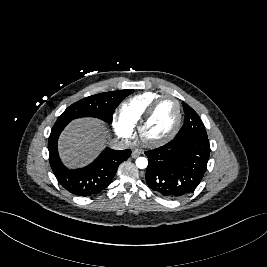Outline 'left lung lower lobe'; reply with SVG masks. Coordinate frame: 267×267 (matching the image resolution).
Returning a JSON list of instances; mask_svg holds the SVG:
<instances>
[{
  "instance_id": "1",
  "label": "left lung lower lobe",
  "mask_w": 267,
  "mask_h": 267,
  "mask_svg": "<svg viewBox=\"0 0 267 267\" xmlns=\"http://www.w3.org/2000/svg\"><path fill=\"white\" fill-rule=\"evenodd\" d=\"M148 157L146 182L156 193L180 198L193 192L201 182L210 155L208 137L200 135L173 139L145 152Z\"/></svg>"
}]
</instances>
